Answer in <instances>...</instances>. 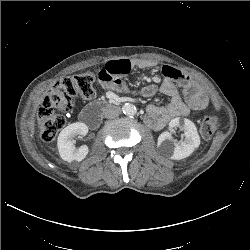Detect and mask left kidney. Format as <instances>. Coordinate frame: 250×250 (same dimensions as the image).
<instances>
[{
	"instance_id": "obj_1",
	"label": "left kidney",
	"mask_w": 250,
	"mask_h": 250,
	"mask_svg": "<svg viewBox=\"0 0 250 250\" xmlns=\"http://www.w3.org/2000/svg\"><path fill=\"white\" fill-rule=\"evenodd\" d=\"M177 127L181 128L185 136L184 141L180 143H177L171 135V132ZM169 131H165L159 135L157 148L162 155L172 160H181L190 156L200 145L197 128L189 119L181 120L179 117L172 119L169 122Z\"/></svg>"
}]
</instances>
